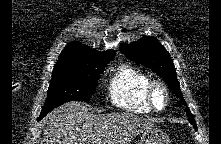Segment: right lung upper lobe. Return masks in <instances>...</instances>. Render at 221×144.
<instances>
[{"label":"right lung upper lobe","instance_id":"cb5924a9","mask_svg":"<svg viewBox=\"0 0 221 144\" xmlns=\"http://www.w3.org/2000/svg\"><path fill=\"white\" fill-rule=\"evenodd\" d=\"M114 50L98 52L79 42H72L63 49L55 66L101 64L112 60Z\"/></svg>","mask_w":221,"mask_h":144}]
</instances>
